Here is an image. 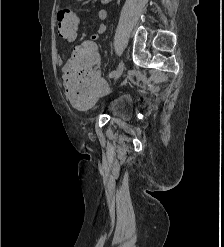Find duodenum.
Returning a JSON list of instances; mask_svg holds the SVG:
<instances>
[{"mask_svg":"<svg viewBox=\"0 0 224 247\" xmlns=\"http://www.w3.org/2000/svg\"><path fill=\"white\" fill-rule=\"evenodd\" d=\"M110 2V0H102V3L103 4H107V3H109Z\"/></svg>","mask_w":224,"mask_h":247,"instance_id":"obj_1","label":"duodenum"}]
</instances>
